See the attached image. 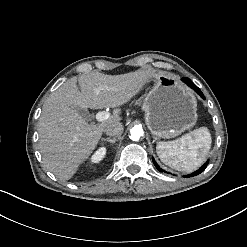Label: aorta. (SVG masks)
I'll list each match as a JSON object with an SVG mask.
<instances>
[{
  "label": "aorta",
  "mask_w": 247,
  "mask_h": 247,
  "mask_svg": "<svg viewBox=\"0 0 247 247\" xmlns=\"http://www.w3.org/2000/svg\"><path fill=\"white\" fill-rule=\"evenodd\" d=\"M144 135V131L142 129V127L140 126H134L131 130H130V138L133 141H138L142 136Z\"/></svg>",
  "instance_id": "aorta-1"
}]
</instances>
